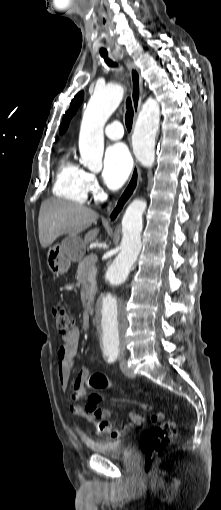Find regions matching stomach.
<instances>
[{"label":"stomach","mask_w":221,"mask_h":510,"mask_svg":"<svg viewBox=\"0 0 221 510\" xmlns=\"http://www.w3.org/2000/svg\"><path fill=\"white\" fill-rule=\"evenodd\" d=\"M84 255V243L80 237L68 236L48 249L47 265L56 275L68 272L71 262L80 260Z\"/></svg>","instance_id":"0dacf381"}]
</instances>
